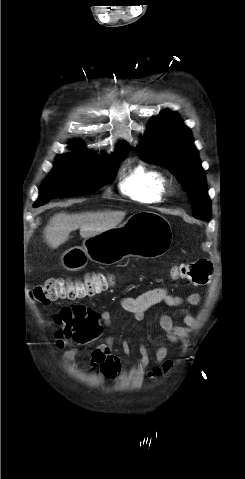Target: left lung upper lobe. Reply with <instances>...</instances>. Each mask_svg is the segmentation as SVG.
I'll return each mask as SVG.
<instances>
[{
  "label": "left lung upper lobe",
  "instance_id": "left-lung-upper-lobe-1",
  "mask_svg": "<svg viewBox=\"0 0 245 479\" xmlns=\"http://www.w3.org/2000/svg\"><path fill=\"white\" fill-rule=\"evenodd\" d=\"M136 151L141 158L168 168L187 191L195 218L211 219V201L198 152L188 127L172 112L155 116Z\"/></svg>",
  "mask_w": 245,
  "mask_h": 479
}]
</instances>
